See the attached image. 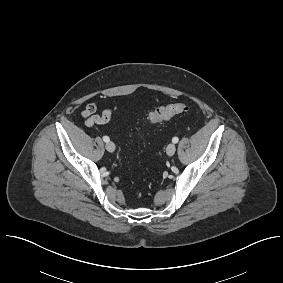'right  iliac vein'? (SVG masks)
I'll list each match as a JSON object with an SVG mask.
<instances>
[{
  "instance_id": "right-iliac-vein-1",
  "label": "right iliac vein",
  "mask_w": 283,
  "mask_h": 283,
  "mask_svg": "<svg viewBox=\"0 0 283 283\" xmlns=\"http://www.w3.org/2000/svg\"><path fill=\"white\" fill-rule=\"evenodd\" d=\"M105 147H106L107 151H109V152L115 151V144L111 141L107 142Z\"/></svg>"
}]
</instances>
